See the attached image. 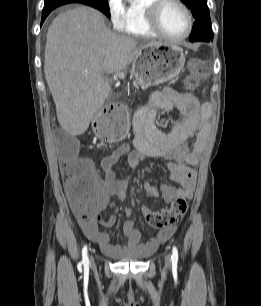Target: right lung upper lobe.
<instances>
[{
    "label": "right lung upper lobe",
    "mask_w": 261,
    "mask_h": 306,
    "mask_svg": "<svg viewBox=\"0 0 261 306\" xmlns=\"http://www.w3.org/2000/svg\"><path fill=\"white\" fill-rule=\"evenodd\" d=\"M68 1H76V0H68Z\"/></svg>",
    "instance_id": "right-lung-upper-lobe-1"
}]
</instances>
